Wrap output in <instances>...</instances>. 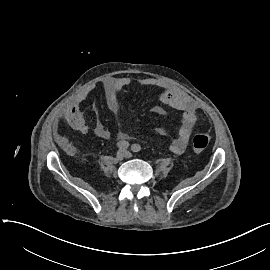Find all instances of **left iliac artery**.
Listing matches in <instances>:
<instances>
[{"label":"left iliac artery","mask_w":270,"mask_h":270,"mask_svg":"<svg viewBox=\"0 0 270 270\" xmlns=\"http://www.w3.org/2000/svg\"><path fill=\"white\" fill-rule=\"evenodd\" d=\"M131 150H132L133 152H139V151L141 150V146H140L139 144H133V145L131 146Z\"/></svg>","instance_id":"44dca946"}]
</instances>
